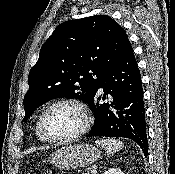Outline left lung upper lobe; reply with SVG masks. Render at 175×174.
Here are the masks:
<instances>
[{"instance_id":"left-lung-upper-lobe-1","label":"left lung upper lobe","mask_w":175,"mask_h":174,"mask_svg":"<svg viewBox=\"0 0 175 174\" xmlns=\"http://www.w3.org/2000/svg\"><path fill=\"white\" fill-rule=\"evenodd\" d=\"M129 44L124 29L107 15L60 24L29 73L23 121L51 99L78 98L89 104L98 83Z\"/></svg>"}]
</instances>
